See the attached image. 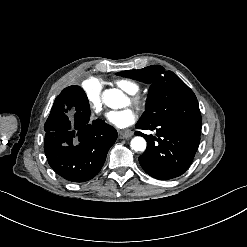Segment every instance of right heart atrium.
<instances>
[{
	"label": "right heart atrium",
	"instance_id": "d8ad5b80",
	"mask_svg": "<svg viewBox=\"0 0 247 247\" xmlns=\"http://www.w3.org/2000/svg\"><path fill=\"white\" fill-rule=\"evenodd\" d=\"M82 89L86 98L90 102V110L94 114H99L103 110V99L106 91L105 86L99 79L88 77L85 79Z\"/></svg>",
	"mask_w": 247,
	"mask_h": 247
}]
</instances>
